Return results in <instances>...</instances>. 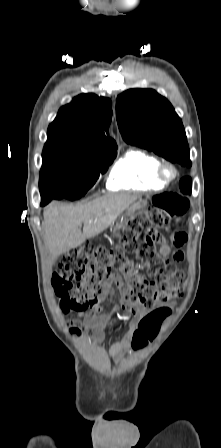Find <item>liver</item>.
I'll return each mask as SVG.
<instances>
[{"label":"liver","mask_w":221,"mask_h":448,"mask_svg":"<svg viewBox=\"0 0 221 448\" xmlns=\"http://www.w3.org/2000/svg\"><path fill=\"white\" fill-rule=\"evenodd\" d=\"M138 198L132 194H110L77 206L50 205L44 211L43 222L50 257L57 258L105 231L124 210L139 204Z\"/></svg>","instance_id":"obj_1"}]
</instances>
